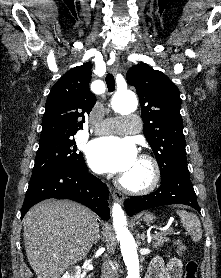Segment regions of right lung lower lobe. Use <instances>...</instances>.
Returning <instances> with one entry per match:
<instances>
[{"instance_id":"right-lung-lower-lobe-1","label":"right lung lower lobe","mask_w":221,"mask_h":278,"mask_svg":"<svg viewBox=\"0 0 221 278\" xmlns=\"http://www.w3.org/2000/svg\"><path fill=\"white\" fill-rule=\"evenodd\" d=\"M108 195L106 185L89 174L86 165L80 170H56L29 182L21 219L36 203L49 198H61L82 203L104 220H108Z\"/></svg>"}]
</instances>
